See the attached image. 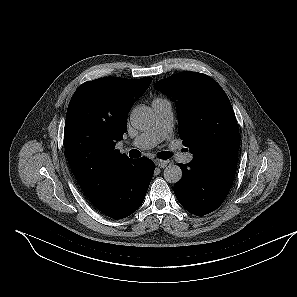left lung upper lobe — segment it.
Returning <instances> with one entry per match:
<instances>
[{
  "label": "left lung upper lobe",
  "mask_w": 297,
  "mask_h": 297,
  "mask_svg": "<svg viewBox=\"0 0 297 297\" xmlns=\"http://www.w3.org/2000/svg\"><path fill=\"white\" fill-rule=\"evenodd\" d=\"M155 88L169 95L177 110L179 136L196 165L216 162L240 147L235 113L222 87L198 72L159 80Z\"/></svg>",
  "instance_id": "1"
}]
</instances>
